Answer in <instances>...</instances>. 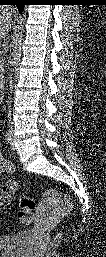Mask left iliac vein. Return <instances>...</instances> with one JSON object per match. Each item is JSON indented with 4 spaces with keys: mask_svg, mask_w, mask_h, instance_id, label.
Here are the masks:
<instances>
[{
    "mask_svg": "<svg viewBox=\"0 0 106 257\" xmlns=\"http://www.w3.org/2000/svg\"><path fill=\"white\" fill-rule=\"evenodd\" d=\"M10 145H11V149L14 150V142H13V138H12V133H11V142H10Z\"/></svg>",
    "mask_w": 106,
    "mask_h": 257,
    "instance_id": "obj_1",
    "label": "left iliac vein"
}]
</instances>
